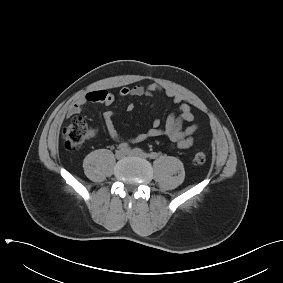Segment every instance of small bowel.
<instances>
[{"instance_id": "small-bowel-1", "label": "small bowel", "mask_w": 283, "mask_h": 283, "mask_svg": "<svg viewBox=\"0 0 283 283\" xmlns=\"http://www.w3.org/2000/svg\"><path fill=\"white\" fill-rule=\"evenodd\" d=\"M163 92L174 104L178 106L177 113H171L162 127V122L159 118L155 119L152 128L147 132L137 135L131 141L135 143L143 142L150 138L159 136L167 137L176 147L186 149L195 142L194 134L198 126L194 123V113L189 104L184 102L183 97L177 92L169 89H164L157 83H150L147 85L137 84L132 87H122L119 91L121 97H139L152 96L155 93ZM115 100V96L106 90L91 91L84 96L77 99L67 110V116L79 114L84 106L88 103H100L104 105H111ZM126 110L128 112L134 111V104L129 103ZM104 124L107 132L116 141L122 140V137L113 123V112L106 111L103 114ZM191 123L186 128H183V123Z\"/></svg>"}]
</instances>
